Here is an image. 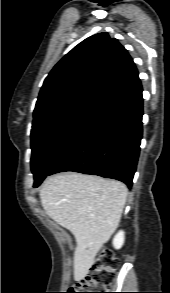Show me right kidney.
Masks as SVG:
<instances>
[{
	"instance_id": "right-kidney-1",
	"label": "right kidney",
	"mask_w": 170,
	"mask_h": 293,
	"mask_svg": "<svg viewBox=\"0 0 170 293\" xmlns=\"http://www.w3.org/2000/svg\"><path fill=\"white\" fill-rule=\"evenodd\" d=\"M124 240H125V233L124 231H119L114 239H113V246L115 249H120L123 244H124Z\"/></svg>"
}]
</instances>
